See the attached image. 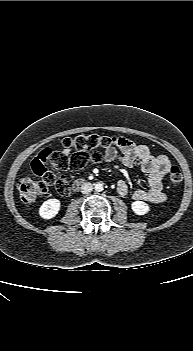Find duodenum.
Listing matches in <instances>:
<instances>
[{
  "label": "duodenum",
  "instance_id": "duodenum-1",
  "mask_svg": "<svg viewBox=\"0 0 193 351\" xmlns=\"http://www.w3.org/2000/svg\"><path fill=\"white\" fill-rule=\"evenodd\" d=\"M83 183V180L82 179H77L74 181L73 183V189H77L81 184Z\"/></svg>",
  "mask_w": 193,
  "mask_h": 351
}]
</instances>
